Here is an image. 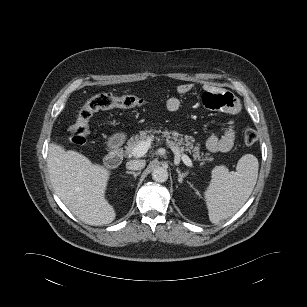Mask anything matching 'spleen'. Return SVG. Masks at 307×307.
Returning <instances> with one entry per match:
<instances>
[{
  "label": "spleen",
  "mask_w": 307,
  "mask_h": 307,
  "mask_svg": "<svg viewBox=\"0 0 307 307\" xmlns=\"http://www.w3.org/2000/svg\"><path fill=\"white\" fill-rule=\"evenodd\" d=\"M258 169V159L246 154L239 159L235 173L223 166L212 171V179L204 193L212 223L234 215L245 204L256 185Z\"/></svg>",
  "instance_id": "1"
}]
</instances>
